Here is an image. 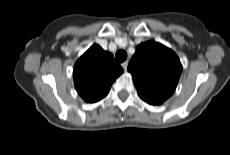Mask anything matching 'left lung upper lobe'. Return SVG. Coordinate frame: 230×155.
I'll return each mask as SVG.
<instances>
[{
    "mask_svg": "<svg viewBox=\"0 0 230 155\" xmlns=\"http://www.w3.org/2000/svg\"><path fill=\"white\" fill-rule=\"evenodd\" d=\"M128 71L140 98L148 104L160 105L174 93L182 65L170 48L147 41L137 46Z\"/></svg>",
    "mask_w": 230,
    "mask_h": 155,
    "instance_id": "1",
    "label": "left lung upper lobe"
}]
</instances>
